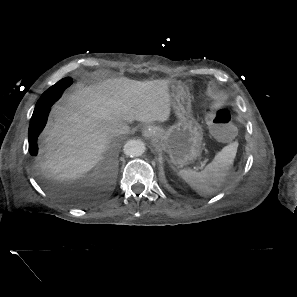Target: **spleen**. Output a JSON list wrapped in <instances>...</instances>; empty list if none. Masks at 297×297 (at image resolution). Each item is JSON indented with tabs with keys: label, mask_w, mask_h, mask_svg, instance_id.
<instances>
[{
	"label": "spleen",
	"mask_w": 297,
	"mask_h": 297,
	"mask_svg": "<svg viewBox=\"0 0 297 297\" xmlns=\"http://www.w3.org/2000/svg\"><path fill=\"white\" fill-rule=\"evenodd\" d=\"M237 147V142L225 146L200 172L192 169H181L178 175L199 195H210L225 183L233 165Z\"/></svg>",
	"instance_id": "3e777b00"
}]
</instances>
